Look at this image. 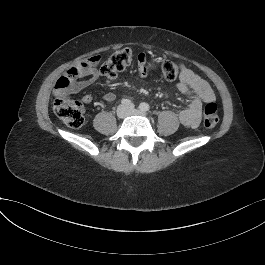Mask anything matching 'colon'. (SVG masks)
Here are the masks:
<instances>
[{"mask_svg": "<svg viewBox=\"0 0 265 265\" xmlns=\"http://www.w3.org/2000/svg\"><path fill=\"white\" fill-rule=\"evenodd\" d=\"M133 54L130 49L124 48L112 53L101 65L100 72L106 77L114 78L125 70L132 62ZM100 61L99 56L85 59L71 67L56 84L54 112L56 116L72 128H79L85 121V108L79 101L69 97V88L87 69L93 68ZM185 67L173 62H164L161 67L162 75L166 80H175L184 71ZM203 124L206 128H214L218 124L217 105L209 101L204 106Z\"/></svg>", "mask_w": 265, "mask_h": 265, "instance_id": "5ec220e1", "label": "colon"}]
</instances>
